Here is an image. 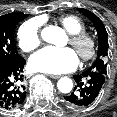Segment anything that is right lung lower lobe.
<instances>
[{
    "label": "right lung lower lobe",
    "mask_w": 117,
    "mask_h": 117,
    "mask_svg": "<svg viewBox=\"0 0 117 117\" xmlns=\"http://www.w3.org/2000/svg\"><path fill=\"white\" fill-rule=\"evenodd\" d=\"M23 57L15 61L0 60V109H14L20 107L25 98L26 91L22 85Z\"/></svg>",
    "instance_id": "obj_1"
}]
</instances>
